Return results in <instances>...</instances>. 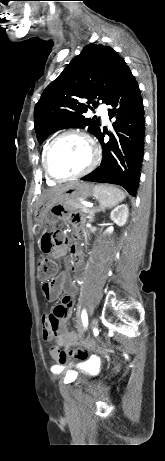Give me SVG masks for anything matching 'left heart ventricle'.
I'll list each match as a JSON object with an SVG mask.
<instances>
[{
  "label": "left heart ventricle",
  "instance_id": "1",
  "mask_svg": "<svg viewBox=\"0 0 165 461\" xmlns=\"http://www.w3.org/2000/svg\"><path fill=\"white\" fill-rule=\"evenodd\" d=\"M90 161L86 142L76 136L62 138L52 150L49 166L59 177L74 175L82 171Z\"/></svg>",
  "mask_w": 165,
  "mask_h": 461
}]
</instances>
